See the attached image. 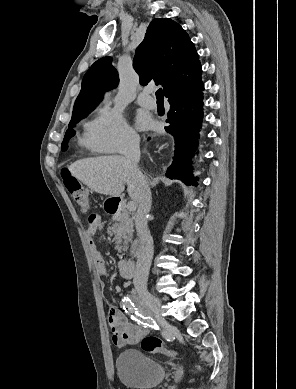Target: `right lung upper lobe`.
Returning <instances> with one entry per match:
<instances>
[{"instance_id":"obj_1","label":"right lung upper lobe","mask_w":296,"mask_h":389,"mask_svg":"<svg viewBox=\"0 0 296 389\" xmlns=\"http://www.w3.org/2000/svg\"><path fill=\"white\" fill-rule=\"evenodd\" d=\"M201 68L194 44L179 24L169 18L152 20L134 57V69L140 76V84L147 85L154 80L163 86L167 97L172 89L203 84ZM118 82L111 58L97 60L83 78L73 113L96 107L103 92L115 88Z\"/></svg>"}]
</instances>
